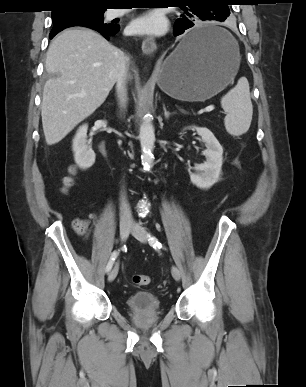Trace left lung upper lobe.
Instances as JSON below:
<instances>
[{
	"instance_id": "obj_1",
	"label": "left lung upper lobe",
	"mask_w": 306,
	"mask_h": 387,
	"mask_svg": "<svg viewBox=\"0 0 306 387\" xmlns=\"http://www.w3.org/2000/svg\"><path fill=\"white\" fill-rule=\"evenodd\" d=\"M226 2L227 0H185L189 8L186 5L181 7L186 13V15H181V17L189 19L190 21H224L230 14Z\"/></svg>"
}]
</instances>
